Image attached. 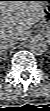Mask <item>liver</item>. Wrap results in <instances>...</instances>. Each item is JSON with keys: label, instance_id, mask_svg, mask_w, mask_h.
<instances>
[{"label": "liver", "instance_id": "liver-1", "mask_svg": "<svg viewBox=\"0 0 50 111\" xmlns=\"http://www.w3.org/2000/svg\"><path fill=\"white\" fill-rule=\"evenodd\" d=\"M46 3L31 0H8L0 3V40L8 37L26 39L28 31L36 22L44 19Z\"/></svg>", "mask_w": 50, "mask_h": 111}]
</instances>
